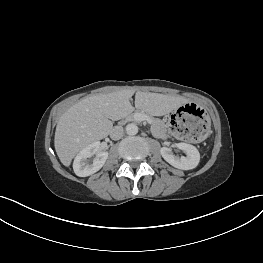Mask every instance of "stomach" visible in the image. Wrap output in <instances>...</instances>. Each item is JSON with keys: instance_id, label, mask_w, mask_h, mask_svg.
<instances>
[{"instance_id": "1", "label": "stomach", "mask_w": 263, "mask_h": 263, "mask_svg": "<svg viewBox=\"0 0 263 263\" xmlns=\"http://www.w3.org/2000/svg\"><path fill=\"white\" fill-rule=\"evenodd\" d=\"M169 126L175 137L189 145L204 142L211 131L208 114L193 103L184 104L175 110L170 117Z\"/></svg>"}]
</instances>
